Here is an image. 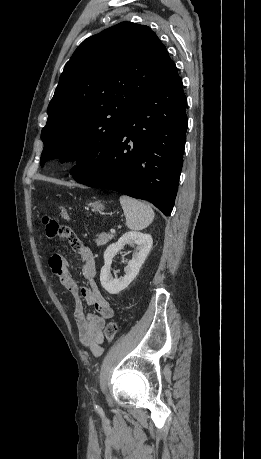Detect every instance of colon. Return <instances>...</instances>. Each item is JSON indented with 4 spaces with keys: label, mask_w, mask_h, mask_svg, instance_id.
I'll list each match as a JSON object with an SVG mask.
<instances>
[{
    "label": "colon",
    "mask_w": 261,
    "mask_h": 459,
    "mask_svg": "<svg viewBox=\"0 0 261 459\" xmlns=\"http://www.w3.org/2000/svg\"><path fill=\"white\" fill-rule=\"evenodd\" d=\"M59 215L61 218L65 220L69 218V214L66 208L64 207L59 208ZM43 223L50 228H55L57 226V222H55L54 220H50L47 217L43 218ZM117 333H118V324L116 322L111 321L106 324L104 328V336L107 342L109 343L112 342L115 339Z\"/></svg>",
    "instance_id": "colon-1"
}]
</instances>
